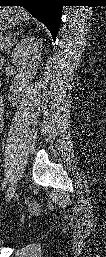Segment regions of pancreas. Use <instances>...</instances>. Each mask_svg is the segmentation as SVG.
I'll list each match as a JSON object with an SVG mask.
<instances>
[{
    "mask_svg": "<svg viewBox=\"0 0 106 257\" xmlns=\"http://www.w3.org/2000/svg\"><path fill=\"white\" fill-rule=\"evenodd\" d=\"M11 37L3 36L0 37V50L4 51L12 46Z\"/></svg>",
    "mask_w": 106,
    "mask_h": 257,
    "instance_id": "cf45deb5",
    "label": "pancreas"
}]
</instances>
